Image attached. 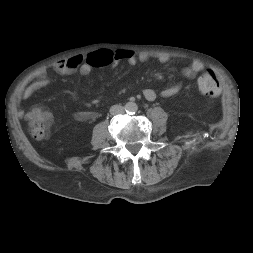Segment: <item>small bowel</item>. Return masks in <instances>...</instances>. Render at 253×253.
<instances>
[{"label":"small bowel","mask_w":253,"mask_h":253,"mask_svg":"<svg viewBox=\"0 0 253 253\" xmlns=\"http://www.w3.org/2000/svg\"><path fill=\"white\" fill-rule=\"evenodd\" d=\"M151 55L148 53H142L136 56L129 51H111L101 50L89 54L87 57H74L68 60L58 62L54 69L56 73L61 76H70L79 72L80 74L87 76L94 70L100 69L109 65L117 64L120 61H126L130 66H136L138 63H145L151 59ZM157 61L165 64L169 61V57L166 55L156 56ZM203 69V64L198 61H192L188 66L182 68L181 75L186 79H194L199 72ZM36 75L40 78L46 76L44 69L39 70ZM37 85L30 87L27 90V94L30 93ZM182 89L181 84H175L157 92L152 88H145L143 90V96L148 101H154L158 96L171 97L178 94ZM25 117L28 119L29 124L34 127L36 124H42L45 127H49L53 122L52 114L43 108H33L26 112ZM97 117L96 112L92 111H77L74 113V118L78 121H90Z\"/></svg>","instance_id":"obj_1"}]
</instances>
